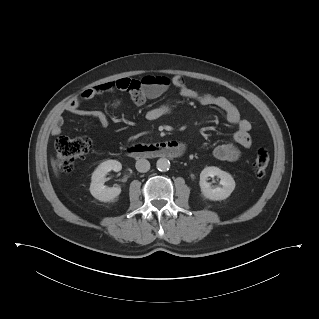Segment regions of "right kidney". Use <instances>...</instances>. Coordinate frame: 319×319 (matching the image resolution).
<instances>
[{"instance_id": "right-kidney-1", "label": "right kidney", "mask_w": 319, "mask_h": 319, "mask_svg": "<svg viewBox=\"0 0 319 319\" xmlns=\"http://www.w3.org/2000/svg\"><path fill=\"white\" fill-rule=\"evenodd\" d=\"M122 169V165L116 160H107L101 163L98 168L92 173L90 192L92 196L101 202H109L119 196L121 193L120 187H107L104 185L105 176L111 170L118 172Z\"/></svg>"}]
</instances>
